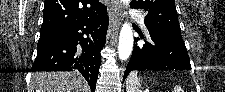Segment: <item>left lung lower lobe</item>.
I'll return each mask as SVG.
<instances>
[{"label": "left lung lower lobe", "mask_w": 225, "mask_h": 92, "mask_svg": "<svg viewBox=\"0 0 225 92\" xmlns=\"http://www.w3.org/2000/svg\"><path fill=\"white\" fill-rule=\"evenodd\" d=\"M151 42L134 45L124 73V80L133 70H190V59L181 36L162 28L147 27ZM136 42L139 38L134 39Z\"/></svg>", "instance_id": "obj_1"}]
</instances>
